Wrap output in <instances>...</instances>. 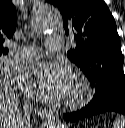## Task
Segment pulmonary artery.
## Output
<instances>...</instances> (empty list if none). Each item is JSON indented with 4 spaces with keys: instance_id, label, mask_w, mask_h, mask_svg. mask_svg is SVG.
<instances>
[{
    "instance_id": "e3ab8cb5",
    "label": "pulmonary artery",
    "mask_w": 125,
    "mask_h": 128,
    "mask_svg": "<svg viewBox=\"0 0 125 128\" xmlns=\"http://www.w3.org/2000/svg\"><path fill=\"white\" fill-rule=\"evenodd\" d=\"M63 37L55 34L50 35L46 39V48L51 52H56L61 49ZM41 50L37 46H22L14 47V54L12 60L16 63L31 62L39 59Z\"/></svg>"
}]
</instances>
